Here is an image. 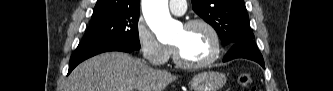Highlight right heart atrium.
<instances>
[{"instance_id":"right-heart-atrium-1","label":"right heart atrium","mask_w":333,"mask_h":91,"mask_svg":"<svg viewBox=\"0 0 333 91\" xmlns=\"http://www.w3.org/2000/svg\"><path fill=\"white\" fill-rule=\"evenodd\" d=\"M136 40L143 57L150 64L164 65L171 57L172 48L162 44L143 19L137 22Z\"/></svg>"}]
</instances>
